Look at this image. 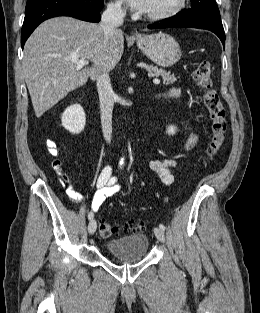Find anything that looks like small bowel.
I'll list each match as a JSON object with an SVG mask.
<instances>
[{"label": "small bowel", "mask_w": 260, "mask_h": 313, "mask_svg": "<svg viewBox=\"0 0 260 313\" xmlns=\"http://www.w3.org/2000/svg\"><path fill=\"white\" fill-rule=\"evenodd\" d=\"M180 94V90L174 88L170 90L167 94L162 95L166 98H176ZM197 137L191 134L185 144V149L193 147L196 143ZM52 154H57V149L50 150ZM177 164L175 159L171 158H157L150 162V168L152 172L157 176L160 182L164 185L172 184L174 180L173 168ZM58 174L60 176V181L63 185H67V192L70 199L76 203L82 202L85 196L77 192L72 184L69 175L62 169L61 162L57 161ZM97 192L93 198L91 207L94 211H98L99 208L106 202V200L118 194L121 187L118 185V180L112 175V167L106 166L100 173L97 179Z\"/></svg>", "instance_id": "obj_1"}]
</instances>
